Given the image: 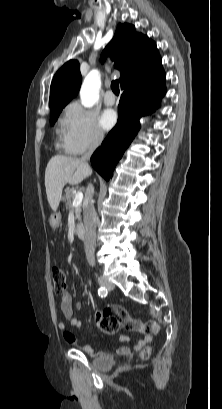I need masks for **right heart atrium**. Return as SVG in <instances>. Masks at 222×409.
Listing matches in <instances>:
<instances>
[{
    "instance_id": "obj_1",
    "label": "right heart atrium",
    "mask_w": 222,
    "mask_h": 409,
    "mask_svg": "<svg viewBox=\"0 0 222 409\" xmlns=\"http://www.w3.org/2000/svg\"><path fill=\"white\" fill-rule=\"evenodd\" d=\"M64 148L78 154L95 149L104 140V133L99 127L94 112L80 103L69 104L61 120Z\"/></svg>"
}]
</instances>
